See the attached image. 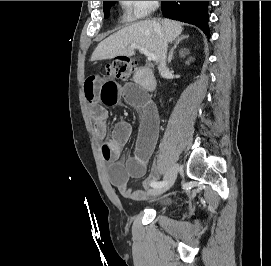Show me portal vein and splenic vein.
<instances>
[{"label": "portal vein and splenic vein", "instance_id": "1", "mask_svg": "<svg viewBox=\"0 0 271 266\" xmlns=\"http://www.w3.org/2000/svg\"><path fill=\"white\" fill-rule=\"evenodd\" d=\"M130 48L132 49H139L141 51V53H143L145 56H147V58L149 60L155 61L156 60V55L152 52H150L149 50H147V48L137 45V44H131Z\"/></svg>", "mask_w": 271, "mask_h": 266}]
</instances>
